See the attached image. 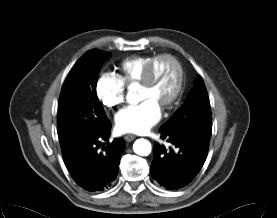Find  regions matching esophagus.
Returning a JSON list of instances; mask_svg holds the SVG:
<instances>
[{
  "label": "esophagus",
  "instance_id": "1",
  "mask_svg": "<svg viewBox=\"0 0 277 218\" xmlns=\"http://www.w3.org/2000/svg\"><path fill=\"white\" fill-rule=\"evenodd\" d=\"M136 138L135 135H132V134H127L124 136V140L127 141V142H131L133 141L134 139Z\"/></svg>",
  "mask_w": 277,
  "mask_h": 218
}]
</instances>
